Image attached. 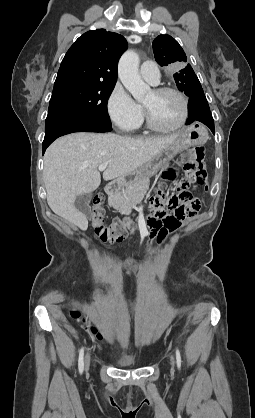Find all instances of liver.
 Listing matches in <instances>:
<instances>
[{"label":"liver","mask_w":255,"mask_h":418,"mask_svg":"<svg viewBox=\"0 0 255 418\" xmlns=\"http://www.w3.org/2000/svg\"><path fill=\"white\" fill-rule=\"evenodd\" d=\"M179 134L158 138L124 137L114 133H73L53 142L44 155L43 178L52 211L86 230L88 221L75 207L78 195L101 183L98 167L108 163L105 181L132 175L152 157L172 145Z\"/></svg>","instance_id":"obj_1"}]
</instances>
